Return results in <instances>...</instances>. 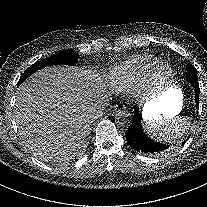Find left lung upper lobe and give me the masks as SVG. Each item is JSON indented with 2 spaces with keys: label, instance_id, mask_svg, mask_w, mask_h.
I'll use <instances>...</instances> for the list:
<instances>
[{
  "label": "left lung upper lobe",
  "instance_id": "1",
  "mask_svg": "<svg viewBox=\"0 0 207 207\" xmlns=\"http://www.w3.org/2000/svg\"><path fill=\"white\" fill-rule=\"evenodd\" d=\"M186 78L188 81L192 78H197V71L193 65L187 66Z\"/></svg>",
  "mask_w": 207,
  "mask_h": 207
}]
</instances>
